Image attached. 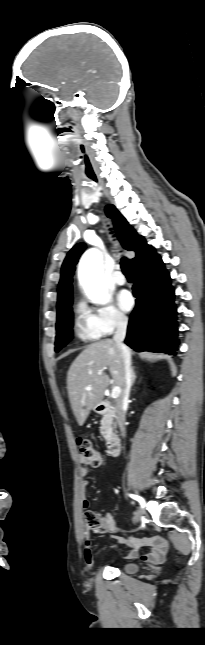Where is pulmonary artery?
<instances>
[{"instance_id": "e3ab8cb5", "label": "pulmonary artery", "mask_w": 205, "mask_h": 645, "mask_svg": "<svg viewBox=\"0 0 205 645\" xmlns=\"http://www.w3.org/2000/svg\"><path fill=\"white\" fill-rule=\"evenodd\" d=\"M112 281L117 284V285H124L126 283V278L123 275V273L119 270V268H116V270L112 273Z\"/></svg>"}]
</instances>
